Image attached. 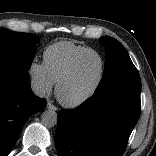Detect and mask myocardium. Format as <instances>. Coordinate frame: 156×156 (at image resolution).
<instances>
[{
    "instance_id": "obj_1",
    "label": "myocardium",
    "mask_w": 156,
    "mask_h": 156,
    "mask_svg": "<svg viewBox=\"0 0 156 156\" xmlns=\"http://www.w3.org/2000/svg\"><path fill=\"white\" fill-rule=\"evenodd\" d=\"M89 54H95L100 59L101 71H100V76L98 78V81L96 82L94 87L87 94L82 96L81 98H79L75 101L63 100L60 96V90H61L62 86L72 77V75L74 74V71H75L78 63L81 61V59ZM105 73H106V63H105L104 57L102 56V54L99 51H97L95 49H88V50L81 52L79 55H77L74 58V60L71 62L70 66L68 67L66 72L60 77V79L56 83L55 96H56L57 100L59 101V103L61 105H63L66 108H77V107L85 104L91 98H93L96 95V93L99 91V89L102 86L103 81L105 79Z\"/></svg>"
}]
</instances>
